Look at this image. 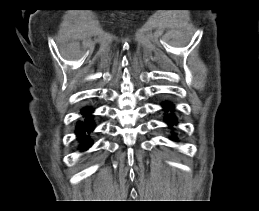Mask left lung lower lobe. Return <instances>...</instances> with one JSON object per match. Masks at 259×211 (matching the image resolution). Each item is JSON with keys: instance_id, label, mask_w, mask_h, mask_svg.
Here are the masks:
<instances>
[{"instance_id": "obj_1", "label": "left lung lower lobe", "mask_w": 259, "mask_h": 211, "mask_svg": "<svg viewBox=\"0 0 259 211\" xmlns=\"http://www.w3.org/2000/svg\"><path fill=\"white\" fill-rule=\"evenodd\" d=\"M163 107H164L165 111H169V110L172 111V109H173V106L170 103H169V107H167L165 104H163ZM165 119L170 126H173L176 124L175 118L172 114L166 115Z\"/></svg>"}]
</instances>
